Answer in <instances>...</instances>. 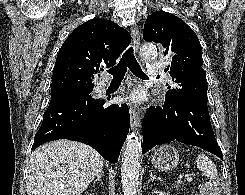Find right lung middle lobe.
<instances>
[{"label": "right lung middle lobe", "mask_w": 245, "mask_h": 195, "mask_svg": "<svg viewBox=\"0 0 245 195\" xmlns=\"http://www.w3.org/2000/svg\"><path fill=\"white\" fill-rule=\"evenodd\" d=\"M87 90H88L87 88H81V89L68 90V91L57 93V94H51V99L61 97V96L79 95V94L86 92Z\"/></svg>", "instance_id": "dd1d6c3e"}]
</instances>
